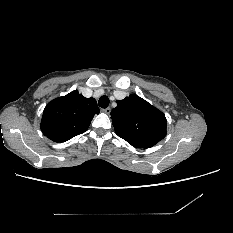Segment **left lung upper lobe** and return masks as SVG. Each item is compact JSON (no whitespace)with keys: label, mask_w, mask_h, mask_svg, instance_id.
<instances>
[{"label":"left lung upper lobe","mask_w":233,"mask_h":233,"mask_svg":"<svg viewBox=\"0 0 233 233\" xmlns=\"http://www.w3.org/2000/svg\"><path fill=\"white\" fill-rule=\"evenodd\" d=\"M110 115L116 134L135 148H150L166 136L165 115L141 97L117 100Z\"/></svg>","instance_id":"5c2ea615"}]
</instances>
